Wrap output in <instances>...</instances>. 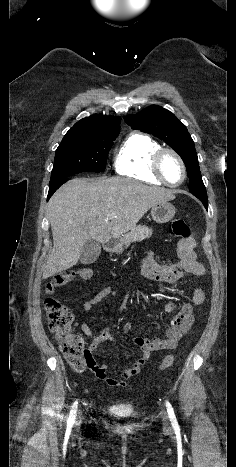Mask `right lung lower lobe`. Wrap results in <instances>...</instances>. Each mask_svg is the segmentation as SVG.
Instances as JSON below:
<instances>
[{
    "label": "right lung lower lobe",
    "mask_w": 236,
    "mask_h": 467,
    "mask_svg": "<svg viewBox=\"0 0 236 467\" xmlns=\"http://www.w3.org/2000/svg\"><path fill=\"white\" fill-rule=\"evenodd\" d=\"M68 179H63L60 180L54 184H49V192H48V197L47 200L53 195V193L62 185L64 184Z\"/></svg>",
    "instance_id": "right-lung-lower-lobe-1"
}]
</instances>
